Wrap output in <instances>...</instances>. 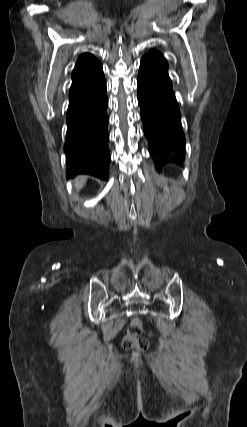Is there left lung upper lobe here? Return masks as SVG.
<instances>
[{
  "label": "left lung upper lobe",
  "mask_w": 247,
  "mask_h": 427,
  "mask_svg": "<svg viewBox=\"0 0 247 427\" xmlns=\"http://www.w3.org/2000/svg\"><path fill=\"white\" fill-rule=\"evenodd\" d=\"M145 56L150 57L154 60H156L157 62H159L162 66H164L165 68H168L167 62L165 60V58L163 57V55L156 51V50H151L150 52H148L147 54H145Z\"/></svg>",
  "instance_id": "left-lung-upper-lobe-1"
}]
</instances>
